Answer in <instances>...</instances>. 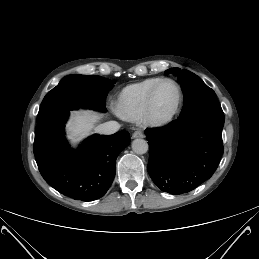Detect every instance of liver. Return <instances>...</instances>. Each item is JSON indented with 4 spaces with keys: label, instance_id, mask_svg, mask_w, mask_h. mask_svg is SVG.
<instances>
[{
    "label": "liver",
    "instance_id": "liver-1",
    "mask_svg": "<svg viewBox=\"0 0 259 259\" xmlns=\"http://www.w3.org/2000/svg\"><path fill=\"white\" fill-rule=\"evenodd\" d=\"M101 115L93 111H74L66 125L68 139L73 145L85 138L99 121Z\"/></svg>",
    "mask_w": 259,
    "mask_h": 259
}]
</instances>
